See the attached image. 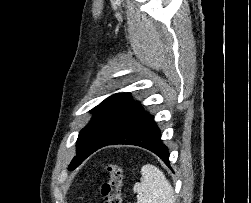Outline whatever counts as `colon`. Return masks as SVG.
Wrapping results in <instances>:
<instances>
[{"mask_svg": "<svg viewBox=\"0 0 251 203\" xmlns=\"http://www.w3.org/2000/svg\"><path fill=\"white\" fill-rule=\"evenodd\" d=\"M104 167L108 173V179L100 184L103 203H121L123 169L117 163H106Z\"/></svg>", "mask_w": 251, "mask_h": 203, "instance_id": "5ec220e1", "label": "colon"}]
</instances>
